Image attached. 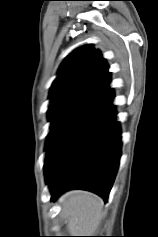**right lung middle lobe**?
I'll return each mask as SVG.
<instances>
[{"label":"right lung middle lobe","mask_w":158,"mask_h":237,"mask_svg":"<svg viewBox=\"0 0 158 237\" xmlns=\"http://www.w3.org/2000/svg\"><path fill=\"white\" fill-rule=\"evenodd\" d=\"M78 107H80L79 104L70 101L51 102L48 110L49 119L52 121L51 131Z\"/></svg>","instance_id":"right-lung-middle-lobe-1"}]
</instances>
